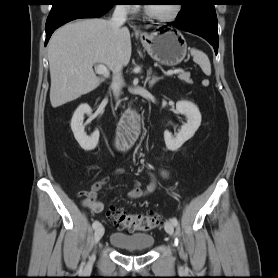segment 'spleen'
Masks as SVG:
<instances>
[{
    "mask_svg": "<svg viewBox=\"0 0 278 278\" xmlns=\"http://www.w3.org/2000/svg\"><path fill=\"white\" fill-rule=\"evenodd\" d=\"M191 55L193 56V60L201 67L202 71L207 75H211V64L208 56L195 48L190 50Z\"/></svg>",
    "mask_w": 278,
    "mask_h": 278,
    "instance_id": "1",
    "label": "spleen"
}]
</instances>
